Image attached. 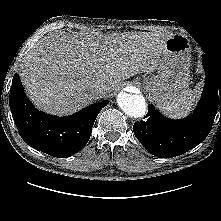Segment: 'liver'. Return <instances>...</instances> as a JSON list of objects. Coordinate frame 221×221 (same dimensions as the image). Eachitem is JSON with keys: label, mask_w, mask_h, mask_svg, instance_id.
Wrapping results in <instances>:
<instances>
[{"label": "liver", "mask_w": 221, "mask_h": 221, "mask_svg": "<svg viewBox=\"0 0 221 221\" xmlns=\"http://www.w3.org/2000/svg\"><path fill=\"white\" fill-rule=\"evenodd\" d=\"M168 38L147 32L47 36L24 56L20 78L37 108L69 115L116 90L125 79L158 69ZM99 83L108 87L101 97L93 92Z\"/></svg>", "instance_id": "liver-1"}]
</instances>
